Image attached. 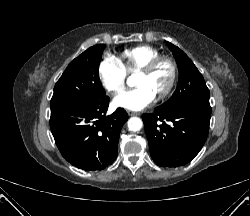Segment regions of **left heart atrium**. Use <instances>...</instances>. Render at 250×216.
<instances>
[{
	"instance_id": "39dd6f15",
	"label": "left heart atrium",
	"mask_w": 250,
	"mask_h": 216,
	"mask_svg": "<svg viewBox=\"0 0 250 216\" xmlns=\"http://www.w3.org/2000/svg\"><path fill=\"white\" fill-rule=\"evenodd\" d=\"M155 94L145 85L122 92L115 97L116 106L130 109L141 110L147 107L154 100Z\"/></svg>"
}]
</instances>
